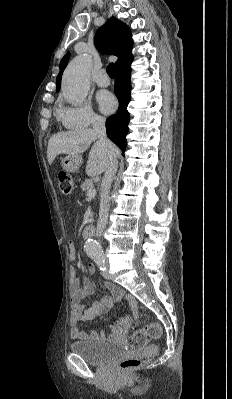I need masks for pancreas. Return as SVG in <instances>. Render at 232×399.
<instances>
[{"mask_svg":"<svg viewBox=\"0 0 232 399\" xmlns=\"http://www.w3.org/2000/svg\"><path fill=\"white\" fill-rule=\"evenodd\" d=\"M94 188V182L93 180H85L81 186L82 192H85V194H88L89 190H93Z\"/></svg>","mask_w":232,"mask_h":399,"instance_id":"pancreas-1","label":"pancreas"}]
</instances>
